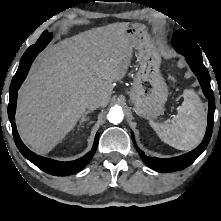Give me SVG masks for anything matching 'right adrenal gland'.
Listing matches in <instances>:
<instances>
[{
    "label": "right adrenal gland",
    "instance_id": "obj_1",
    "mask_svg": "<svg viewBox=\"0 0 221 221\" xmlns=\"http://www.w3.org/2000/svg\"><path fill=\"white\" fill-rule=\"evenodd\" d=\"M91 112H92V110H87V111L84 113L83 117L81 118V120H80V122H79V126H81L84 122L89 121V118H87V115H88L89 113H91Z\"/></svg>",
    "mask_w": 221,
    "mask_h": 221
}]
</instances>
